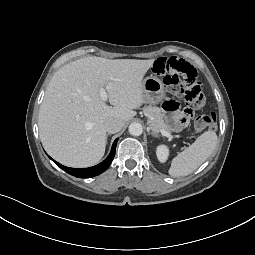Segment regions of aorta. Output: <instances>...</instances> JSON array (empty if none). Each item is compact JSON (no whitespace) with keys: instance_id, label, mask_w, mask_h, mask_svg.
<instances>
[{"instance_id":"762f6f07","label":"aorta","mask_w":255,"mask_h":255,"mask_svg":"<svg viewBox=\"0 0 255 255\" xmlns=\"http://www.w3.org/2000/svg\"><path fill=\"white\" fill-rule=\"evenodd\" d=\"M128 131L133 136H140L143 132V127L140 123H131L129 125Z\"/></svg>"}]
</instances>
